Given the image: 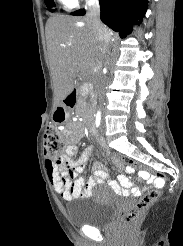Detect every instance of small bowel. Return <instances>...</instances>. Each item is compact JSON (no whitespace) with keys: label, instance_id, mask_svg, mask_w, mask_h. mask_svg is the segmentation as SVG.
Masks as SVG:
<instances>
[{"label":"small bowel","instance_id":"small-bowel-1","mask_svg":"<svg viewBox=\"0 0 183 246\" xmlns=\"http://www.w3.org/2000/svg\"><path fill=\"white\" fill-rule=\"evenodd\" d=\"M68 139L71 141L65 149L66 159L63 164H55L49 159L45 161V168L48 178L54 190L66 201H73L78 198L89 197L92 189L97 184L109 183L116 193L122 195H135L139 192L132 189L131 181L125 176L120 175L118 181L110 180L108 173L101 166H95L93 177L86 180L81 173L87 166V161L92 154V149H86L77 160L70 157L77 153L76 143L81 138L80 131H66ZM100 145V144H99ZM126 172H131L130 167H126ZM140 176L145 178V183H152L153 187L159 185V179L151 178L147 172H140ZM151 186L147 185L141 192H147Z\"/></svg>","mask_w":183,"mask_h":246}]
</instances>
